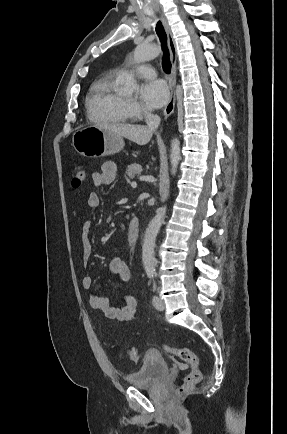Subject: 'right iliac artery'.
Returning a JSON list of instances; mask_svg holds the SVG:
<instances>
[{
    "instance_id": "82829eb1",
    "label": "right iliac artery",
    "mask_w": 287,
    "mask_h": 434,
    "mask_svg": "<svg viewBox=\"0 0 287 434\" xmlns=\"http://www.w3.org/2000/svg\"><path fill=\"white\" fill-rule=\"evenodd\" d=\"M154 276H155V274H154L153 272H151V273H148V277H149L150 279H153V278H154Z\"/></svg>"
}]
</instances>
